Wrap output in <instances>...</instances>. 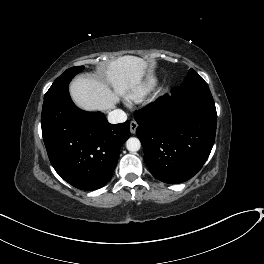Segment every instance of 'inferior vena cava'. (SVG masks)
<instances>
[{
    "label": "inferior vena cava",
    "instance_id": "602c4592",
    "mask_svg": "<svg viewBox=\"0 0 264 264\" xmlns=\"http://www.w3.org/2000/svg\"><path fill=\"white\" fill-rule=\"evenodd\" d=\"M127 120L126 113L121 109H115L108 114V121L112 124L122 123Z\"/></svg>",
    "mask_w": 264,
    "mask_h": 264
}]
</instances>
